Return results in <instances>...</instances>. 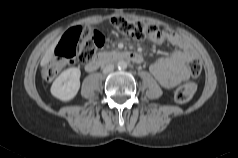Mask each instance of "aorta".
I'll return each instance as SVG.
<instances>
[{
	"label": "aorta",
	"mask_w": 238,
	"mask_h": 158,
	"mask_svg": "<svg viewBox=\"0 0 238 158\" xmlns=\"http://www.w3.org/2000/svg\"><path fill=\"white\" fill-rule=\"evenodd\" d=\"M117 67L121 70H124L127 68V62L124 60H121L117 63Z\"/></svg>",
	"instance_id": "762f6f07"
}]
</instances>
